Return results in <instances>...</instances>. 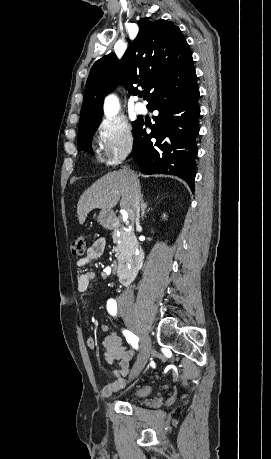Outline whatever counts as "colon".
I'll use <instances>...</instances> for the list:
<instances>
[{"instance_id":"colon-1","label":"colon","mask_w":271,"mask_h":459,"mask_svg":"<svg viewBox=\"0 0 271 459\" xmlns=\"http://www.w3.org/2000/svg\"><path fill=\"white\" fill-rule=\"evenodd\" d=\"M86 248V238L83 235H79L72 243V253L74 255H83Z\"/></svg>"}]
</instances>
